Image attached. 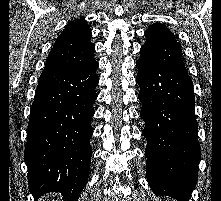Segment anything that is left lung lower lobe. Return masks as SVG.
<instances>
[{
	"label": "left lung lower lobe",
	"instance_id": "left-lung-lower-lobe-1",
	"mask_svg": "<svg viewBox=\"0 0 221 201\" xmlns=\"http://www.w3.org/2000/svg\"><path fill=\"white\" fill-rule=\"evenodd\" d=\"M136 67L150 188L156 195L189 201L201 159L191 78L144 58Z\"/></svg>",
	"mask_w": 221,
	"mask_h": 201
}]
</instances>
